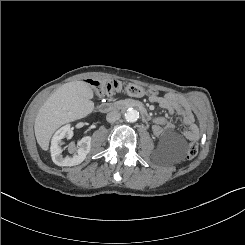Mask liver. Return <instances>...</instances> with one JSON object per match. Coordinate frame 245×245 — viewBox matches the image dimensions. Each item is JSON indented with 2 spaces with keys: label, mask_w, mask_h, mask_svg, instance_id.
Instances as JSON below:
<instances>
[{
  "label": "liver",
  "mask_w": 245,
  "mask_h": 245,
  "mask_svg": "<svg viewBox=\"0 0 245 245\" xmlns=\"http://www.w3.org/2000/svg\"><path fill=\"white\" fill-rule=\"evenodd\" d=\"M93 90L84 81L58 88L41 106L34 131L39 146L47 151L53 133L62 125L88 116L94 110Z\"/></svg>",
  "instance_id": "6515ba94"
}]
</instances>
